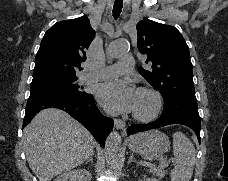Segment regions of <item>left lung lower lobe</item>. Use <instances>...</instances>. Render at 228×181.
<instances>
[{"label": "left lung lower lobe", "mask_w": 228, "mask_h": 181, "mask_svg": "<svg viewBox=\"0 0 228 181\" xmlns=\"http://www.w3.org/2000/svg\"><path fill=\"white\" fill-rule=\"evenodd\" d=\"M170 124H181V125H185L187 127H190L191 129H193L195 131V133L198 137V140H200V126H201V124L185 122V121H165V120H161L160 118H158L157 120H155L153 122L147 123V124H140V125L133 124V125H131L130 127H128V135L135 134L138 132L147 131L150 129L163 127V126L170 125Z\"/></svg>", "instance_id": "0a47b994"}]
</instances>
